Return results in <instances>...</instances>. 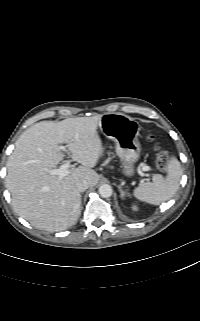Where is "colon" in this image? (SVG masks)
Masks as SVG:
<instances>
[{
  "label": "colon",
  "mask_w": 200,
  "mask_h": 321,
  "mask_svg": "<svg viewBox=\"0 0 200 321\" xmlns=\"http://www.w3.org/2000/svg\"><path fill=\"white\" fill-rule=\"evenodd\" d=\"M156 164L160 170H162V171L166 170L167 164H168V156H167L166 152L161 151V150L158 151Z\"/></svg>",
  "instance_id": "obj_1"
}]
</instances>
